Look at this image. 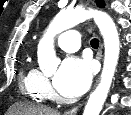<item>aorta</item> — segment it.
<instances>
[{
  "mask_svg": "<svg viewBox=\"0 0 131 115\" xmlns=\"http://www.w3.org/2000/svg\"><path fill=\"white\" fill-rule=\"evenodd\" d=\"M90 18L94 19L103 37L105 56L100 82L91 93L83 115H99L109 93L120 52L117 28L114 21L107 13L83 8L62 10L50 23L46 33L39 41L37 55L42 72L45 75H52L58 65L54 50V37Z\"/></svg>",
  "mask_w": 131,
  "mask_h": 115,
  "instance_id": "obj_1",
  "label": "aorta"
}]
</instances>
